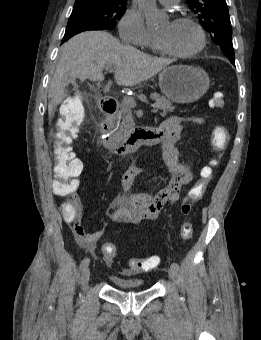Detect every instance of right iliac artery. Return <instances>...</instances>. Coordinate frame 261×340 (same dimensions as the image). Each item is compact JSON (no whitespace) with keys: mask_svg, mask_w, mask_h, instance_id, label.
Instances as JSON below:
<instances>
[{"mask_svg":"<svg viewBox=\"0 0 261 340\" xmlns=\"http://www.w3.org/2000/svg\"><path fill=\"white\" fill-rule=\"evenodd\" d=\"M90 263V259L88 257L84 258L80 263V270H84L86 267H88Z\"/></svg>","mask_w":261,"mask_h":340,"instance_id":"obj_1","label":"right iliac artery"}]
</instances>
